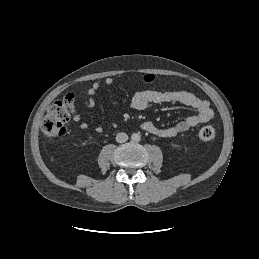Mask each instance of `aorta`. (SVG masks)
I'll return each mask as SVG.
<instances>
[{"instance_id":"aorta-1","label":"aorta","mask_w":259,"mask_h":259,"mask_svg":"<svg viewBox=\"0 0 259 259\" xmlns=\"http://www.w3.org/2000/svg\"><path fill=\"white\" fill-rule=\"evenodd\" d=\"M131 139H132V141H134V142H138V141H140L141 136H140V134H138V133H133V134L131 135Z\"/></svg>"}]
</instances>
